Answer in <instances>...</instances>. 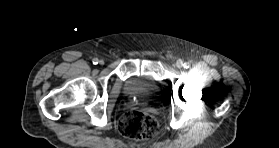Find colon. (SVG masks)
I'll use <instances>...</instances> for the list:
<instances>
[{"mask_svg": "<svg viewBox=\"0 0 279 148\" xmlns=\"http://www.w3.org/2000/svg\"><path fill=\"white\" fill-rule=\"evenodd\" d=\"M118 128L124 136L142 141L152 137L158 131L159 123L151 114L140 110H129L120 118Z\"/></svg>", "mask_w": 279, "mask_h": 148, "instance_id": "5ec220e1", "label": "colon"}]
</instances>
